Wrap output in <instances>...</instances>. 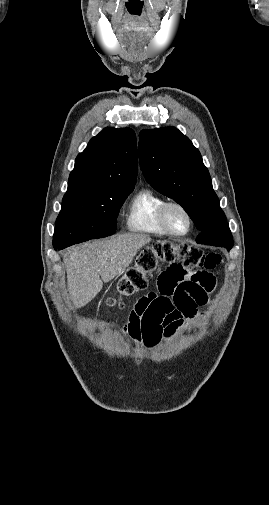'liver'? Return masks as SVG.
I'll return each mask as SVG.
<instances>
[{
    "instance_id": "6515ba94",
    "label": "liver",
    "mask_w": 269,
    "mask_h": 505,
    "mask_svg": "<svg viewBox=\"0 0 269 505\" xmlns=\"http://www.w3.org/2000/svg\"><path fill=\"white\" fill-rule=\"evenodd\" d=\"M150 241L144 234H123L68 250L63 260L74 307L81 308L94 299L103 282L122 274L138 250Z\"/></svg>"
}]
</instances>
